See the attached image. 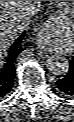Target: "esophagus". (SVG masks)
<instances>
[{
  "mask_svg": "<svg viewBox=\"0 0 74 122\" xmlns=\"http://www.w3.org/2000/svg\"><path fill=\"white\" fill-rule=\"evenodd\" d=\"M37 45L40 49H45L49 45L47 28L44 26L38 34Z\"/></svg>",
  "mask_w": 74,
  "mask_h": 122,
  "instance_id": "34e87169",
  "label": "esophagus"
}]
</instances>
